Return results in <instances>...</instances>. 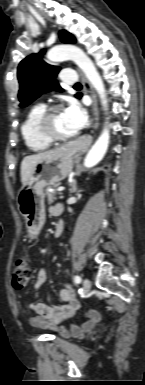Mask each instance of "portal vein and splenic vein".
Returning <instances> with one entry per match:
<instances>
[{
  "mask_svg": "<svg viewBox=\"0 0 145 385\" xmlns=\"http://www.w3.org/2000/svg\"><path fill=\"white\" fill-rule=\"evenodd\" d=\"M64 190H65L64 187H59V188L57 189L58 192H62V191H64Z\"/></svg>",
  "mask_w": 145,
  "mask_h": 385,
  "instance_id": "obj_1",
  "label": "portal vein and splenic vein"
}]
</instances>
